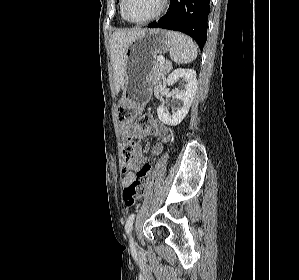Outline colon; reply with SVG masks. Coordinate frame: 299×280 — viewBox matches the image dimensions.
<instances>
[{
    "label": "colon",
    "mask_w": 299,
    "mask_h": 280,
    "mask_svg": "<svg viewBox=\"0 0 299 280\" xmlns=\"http://www.w3.org/2000/svg\"><path fill=\"white\" fill-rule=\"evenodd\" d=\"M151 120L152 117L150 115H143L138 118L135 125H132V135L138 136L139 133H146V127L150 124ZM135 142L136 139L131 136L127 137L124 141L122 158L125 165L133 158ZM150 172L151 165L149 163L142 164L137 170L136 179L124 187L123 200L127 207L134 206L142 199Z\"/></svg>",
    "instance_id": "5ec220e1"
}]
</instances>
